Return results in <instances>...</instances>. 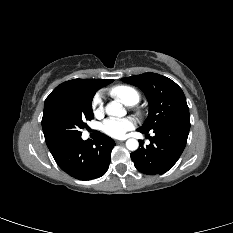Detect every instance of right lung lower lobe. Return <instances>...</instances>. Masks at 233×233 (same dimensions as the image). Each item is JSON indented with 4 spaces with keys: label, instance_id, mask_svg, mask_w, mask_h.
<instances>
[{
    "label": "right lung lower lobe",
    "instance_id": "obj_1",
    "mask_svg": "<svg viewBox=\"0 0 233 233\" xmlns=\"http://www.w3.org/2000/svg\"><path fill=\"white\" fill-rule=\"evenodd\" d=\"M114 146L113 139L99 132L93 141L79 136L49 150L63 171L76 179L90 180L106 173Z\"/></svg>",
    "mask_w": 233,
    "mask_h": 233
}]
</instances>
